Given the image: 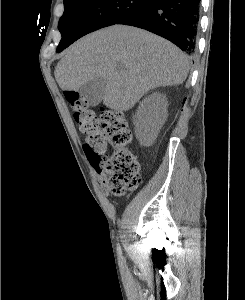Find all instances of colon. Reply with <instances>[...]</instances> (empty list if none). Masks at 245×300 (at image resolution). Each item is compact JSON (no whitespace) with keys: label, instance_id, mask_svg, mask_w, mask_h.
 Listing matches in <instances>:
<instances>
[{"label":"colon","instance_id":"obj_1","mask_svg":"<svg viewBox=\"0 0 245 300\" xmlns=\"http://www.w3.org/2000/svg\"><path fill=\"white\" fill-rule=\"evenodd\" d=\"M76 123L85 135L84 152L98 170L103 189L112 195H123L141 183L140 164L130 147L131 132L124 116L116 110H103L98 115L77 92L66 94ZM113 150L106 155L107 147Z\"/></svg>","mask_w":245,"mask_h":300}]
</instances>
